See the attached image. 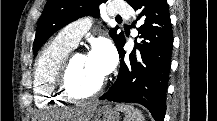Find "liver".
Listing matches in <instances>:
<instances>
[{"label": "liver", "instance_id": "liver-1", "mask_svg": "<svg viewBox=\"0 0 217 121\" xmlns=\"http://www.w3.org/2000/svg\"><path fill=\"white\" fill-rule=\"evenodd\" d=\"M95 105H85L80 109L72 111V113L65 115L67 119H74L75 121H86L88 114Z\"/></svg>", "mask_w": 217, "mask_h": 121}]
</instances>
